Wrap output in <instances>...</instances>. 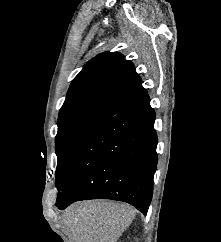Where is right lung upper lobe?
Wrapping results in <instances>:
<instances>
[{
	"mask_svg": "<svg viewBox=\"0 0 221 242\" xmlns=\"http://www.w3.org/2000/svg\"><path fill=\"white\" fill-rule=\"evenodd\" d=\"M146 93L132 62L118 52L101 53L72 81L59 112L58 128L80 122L103 123Z\"/></svg>",
	"mask_w": 221,
	"mask_h": 242,
	"instance_id": "right-lung-upper-lobe-1",
	"label": "right lung upper lobe"
}]
</instances>
